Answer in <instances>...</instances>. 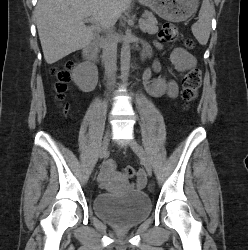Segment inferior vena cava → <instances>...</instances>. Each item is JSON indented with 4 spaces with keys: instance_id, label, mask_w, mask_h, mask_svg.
<instances>
[{
    "instance_id": "602c4592",
    "label": "inferior vena cava",
    "mask_w": 248,
    "mask_h": 250,
    "mask_svg": "<svg viewBox=\"0 0 248 250\" xmlns=\"http://www.w3.org/2000/svg\"><path fill=\"white\" fill-rule=\"evenodd\" d=\"M115 18H110L105 26L106 36L103 41V59L105 66V74L107 77V83L109 89L115 81V73L117 70V36L114 31V26L116 23Z\"/></svg>"
}]
</instances>
